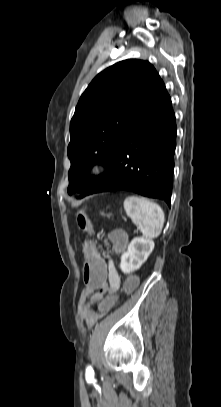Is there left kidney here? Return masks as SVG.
I'll return each mask as SVG.
<instances>
[{
    "label": "left kidney",
    "instance_id": "obj_1",
    "mask_svg": "<svg viewBox=\"0 0 221 407\" xmlns=\"http://www.w3.org/2000/svg\"><path fill=\"white\" fill-rule=\"evenodd\" d=\"M154 245V241L150 238H134L130 242L127 252L121 256L120 268L122 272L129 274L138 270L153 251Z\"/></svg>",
    "mask_w": 221,
    "mask_h": 407
}]
</instances>
